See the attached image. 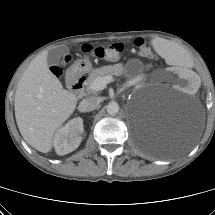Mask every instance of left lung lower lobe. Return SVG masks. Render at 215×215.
Wrapping results in <instances>:
<instances>
[{"label": "left lung lower lobe", "mask_w": 215, "mask_h": 215, "mask_svg": "<svg viewBox=\"0 0 215 215\" xmlns=\"http://www.w3.org/2000/svg\"><path fill=\"white\" fill-rule=\"evenodd\" d=\"M167 152L168 154H172L174 151L169 149Z\"/></svg>", "instance_id": "1"}]
</instances>
